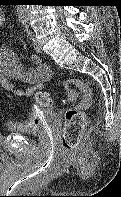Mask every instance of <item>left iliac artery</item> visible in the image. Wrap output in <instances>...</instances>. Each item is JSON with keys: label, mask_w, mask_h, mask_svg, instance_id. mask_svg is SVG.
Wrapping results in <instances>:
<instances>
[{"label": "left iliac artery", "mask_w": 121, "mask_h": 197, "mask_svg": "<svg viewBox=\"0 0 121 197\" xmlns=\"http://www.w3.org/2000/svg\"><path fill=\"white\" fill-rule=\"evenodd\" d=\"M26 33H27V36H28V37L31 36V33H30V31L28 30V27H26Z\"/></svg>", "instance_id": "left-iliac-artery-1"}]
</instances>
